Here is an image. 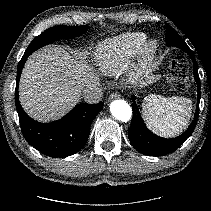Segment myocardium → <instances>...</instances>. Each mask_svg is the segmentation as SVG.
Listing matches in <instances>:
<instances>
[{
  "instance_id": "myocardium-1",
  "label": "myocardium",
  "mask_w": 211,
  "mask_h": 211,
  "mask_svg": "<svg viewBox=\"0 0 211 211\" xmlns=\"http://www.w3.org/2000/svg\"><path fill=\"white\" fill-rule=\"evenodd\" d=\"M161 46L156 38H146L139 51V58L136 69L132 74V81H138L149 74L154 68L160 54Z\"/></svg>"
}]
</instances>
